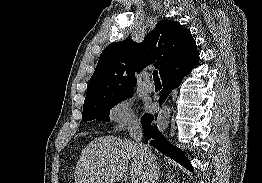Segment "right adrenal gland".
<instances>
[{"instance_id":"2a0ac1e0","label":"right adrenal gland","mask_w":262,"mask_h":183,"mask_svg":"<svg viewBox=\"0 0 262 183\" xmlns=\"http://www.w3.org/2000/svg\"><path fill=\"white\" fill-rule=\"evenodd\" d=\"M159 177H160V172H159V168H158V178H157V182H159Z\"/></svg>"}]
</instances>
